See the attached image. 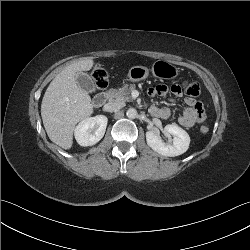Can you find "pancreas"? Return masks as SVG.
<instances>
[{
    "mask_svg": "<svg viewBox=\"0 0 250 250\" xmlns=\"http://www.w3.org/2000/svg\"><path fill=\"white\" fill-rule=\"evenodd\" d=\"M134 89V85H130L129 87L124 86L119 89H110L108 92L109 100L116 102H130L132 101L131 91Z\"/></svg>",
    "mask_w": 250,
    "mask_h": 250,
    "instance_id": "obj_1",
    "label": "pancreas"
}]
</instances>
